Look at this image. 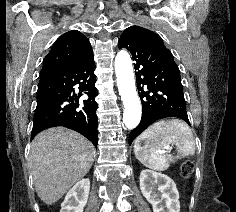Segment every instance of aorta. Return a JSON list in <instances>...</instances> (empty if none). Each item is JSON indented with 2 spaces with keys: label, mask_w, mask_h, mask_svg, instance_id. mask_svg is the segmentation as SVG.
<instances>
[{
  "label": "aorta",
  "mask_w": 236,
  "mask_h": 212,
  "mask_svg": "<svg viewBox=\"0 0 236 212\" xmlns=\"http://www.w3.org/2000/svg\"><path fill=\"white\" fill-rule=\"evenodd\" d=\"M115 73L124 105L123 123L128 129H133L141 120L142 109L136 91L132 61L125 50L119 51L115 57Z\"/></svg>",
  "instance_id": "obj_1"
}]
</instances>
